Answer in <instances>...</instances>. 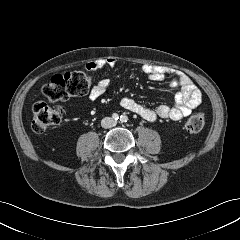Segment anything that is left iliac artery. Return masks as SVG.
<instances>
[{"label": "left iliac artery", "mask_w": 240, "mask_h": 240, "mask_svg": "<svg viewBox=\"0 0 240 240\" xmlns=\"http://www.w3.org/2000/svg\"><path fill=\"white\" fill-rule=\"evenodd\" d=\"M120 121H121L122 123L127 122V121H128V116H126V115H121V116H120Z\"/></svg>", "instance_id": "obj_1"}]
</instances>
